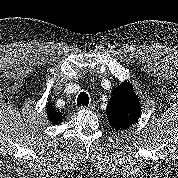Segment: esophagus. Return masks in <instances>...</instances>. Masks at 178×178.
Returning <instances> with one entry per match:
<instances>
[{
	"mask_svg": "<svg viewBox=\"0 0 178 178\" xmlns=\"http://www.w3.org/2000/svg\"><path fill=\"white\" fill-rule=\"evenodd\" d=\"M93 108H94L93 105H89V106L82 105V106L80 107V110H91V109H93Z\"/></svg>",
	"mask_w": 178,
	"mask_h": 178,
	"instance_id": "1",
	"label": "esophagus"
}]
</instances>
